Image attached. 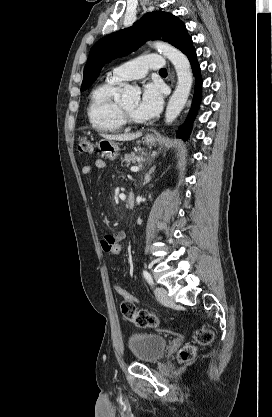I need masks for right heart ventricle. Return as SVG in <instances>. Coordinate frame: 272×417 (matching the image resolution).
I'll list each match as a JSON object with an SVG mask.
<instances>
[{
	"label": "right heart ventricle",
	"instance_id": "e07e8e85",
	"mask_svg": "<svg viewBox=\"0 0 272 417\" xmlns=\"http://www.w3.org/2000/svg\"><path fill=\"white\" fill-rule=\"evenodd\" d=\"M121 84L109 77L91 93L88 118L91 125L100 132H118L125 125L121 119L120 104L117 100Z\"/></svg>",
	"mask_w": 272,
	"mask_h": 417
}]
</instances>
